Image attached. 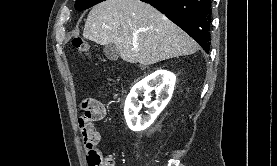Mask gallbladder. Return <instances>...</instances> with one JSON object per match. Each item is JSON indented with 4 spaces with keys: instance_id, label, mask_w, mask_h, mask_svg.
Here are the masks:
<instances>
[{
    "instance_id": "gallbladder-1",
    "label": "gallbladder",
    "mask_w": 277,
    "mask_h": 166,
    "mask_svg": "<svg viewBox=\"0 0 277 166\" xmlns=\"http://www.w3.org/2000/svg\"><path fill=\"white\" fill-rule=\"evenodd\" d=\"M104 53L105 56L111 61H115L119 58V51L112 43L104 46Z\"/></svg>"
}]
</instances>
